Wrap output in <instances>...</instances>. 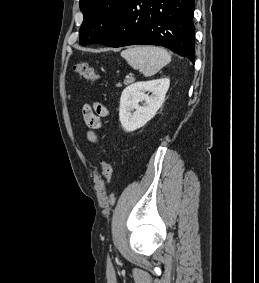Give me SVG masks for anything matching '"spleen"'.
<instances>
[{"label": "spleen", "mask_w": 259, "mask_h": 283, "mask_svg": "<svg viewBox=\"0 0 259 283\" xmlns=\"http://www.w3.org/2000/svg\"><path fill=\"white\" fill-rule=\"evenodd\" d=\"M121 56L145 77L155 75L171 61L168 51L156 46H132L121 52Z\"/></svg>", "instance_id": "1"}]
</instances>
